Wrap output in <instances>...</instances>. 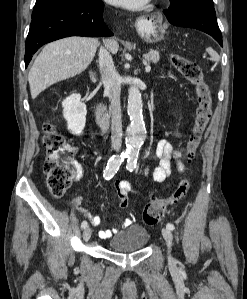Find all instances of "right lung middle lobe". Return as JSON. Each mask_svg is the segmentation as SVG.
<instances>
[{"label":"right lung middle lobe","instance_id":"1","mask_svg":"<svg viewBox=\"0 0 247 299\" xmlns=\"http://www.w3.org/2000/svg\"><path fill=\"white\" fill-rule=\"evenodd\" d=\"M79 1H83V0H36L33 13H32V19H35L38 16L42 15L43 13L55 7H58L60 5L66 3L79 2Z\"/></svg>","mask_w":247,"mask_h":299}]
</instances>
